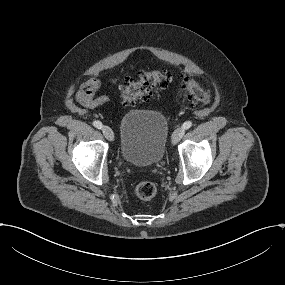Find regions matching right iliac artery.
Segmentation results:
<instances>
[{"label":"right iliac artery","mask_w":285,"mask_h":285,"mask_svg":"<svg viewBox=\"0 0 285 285\" xmlns=\"http://www.w3.org/2000/svg\"><path fill=\"white\" fill-rule=\"evenodd\" d=\"M93 125L98 129H101L103 127V124L100 121H94Z\"/></svg>","instance_id":"right-iliac-artery-1"}]
</instances>
